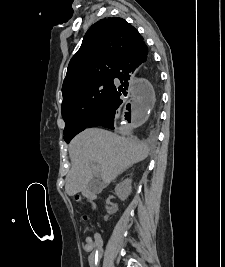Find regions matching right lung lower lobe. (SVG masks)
<instances>
[{
	"mask_svg": "<svg viewBox=\"0 0 225 267\" xmlns=\"http://www.w3.org/2000/svg\"><path fill=\"white\" fill-rule=\"evenodd\" d=\"M138 68L147 73L154 82L158 81L157 72L153 66L151 57L148 55V48L144 41L124 54L114 74V78H118L122 86H115L106 105L93 118L88 127L103 126L105 128L114 129L116 110L124 103L122 97L127 94L126 90L129 84L132 85L134 73Z\"/></svg>",
	"mask_w": 225,
	"mask_h": 267,
	"instance_id": "1",
	"label": "right lung lower lobe"
}]
</instances>
